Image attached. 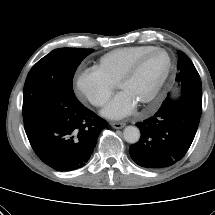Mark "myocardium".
Returning <instances> with one entry per match:
<instances>
[{"instance_id":"obj_1","label":"myocardium","mask_w":215,"mask_h":215,"mask_svg":"<svg viewBox=\"0 0 215 215\" xmlns=\"http://www.w3.org/2000/svg\"><path fill=\"white\" fill-rule=\"evenodd\" d=\"M155 53H163V54H165L167 56V58H168V67H167L166 72L164 73L162 79L157 84V86L155 87L153 92L145 100H143L141 102L142 105L149 104L152 101H154L158 97V95L160 94V92L162 91V89L164 88L165 84L168 81V78H169L170 73H171L172 68H173V60H172V57H171V55H170V53L168 51H166L165 49H162V48H153V49L143 53L142 55H140L138 58H136L128 66V68L124 71V73L121 75V77L119 78V80L116 83L117 88L120 89L123 84L128 82L135 75V73L137 72V70L139 69L141 64L149 56H151V55H153Z\"/></svg>"}]
</instances>
